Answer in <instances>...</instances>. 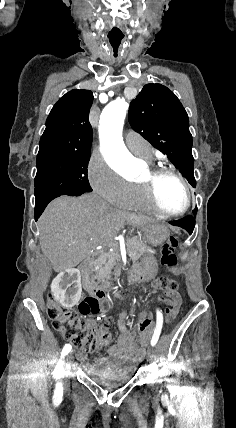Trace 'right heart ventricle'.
I'll list each match as a JSON object with an SVG mask.
<instances>
[{"instance_id":"obj_1","label":"right heart ventricle","mask_w":236,"mask_h":428,"mask_svg":"<svg viewBox=\"0 0 236 428\" xmlns=\"http://www.w3.org/2000/svg\"><path fill=\"white\" fill-rule=\"evenodd\" d=\"M122 208L127 210L159 214L148 204L139 184L130 185L129 196Z\"/></svg>"}]
</instances>
